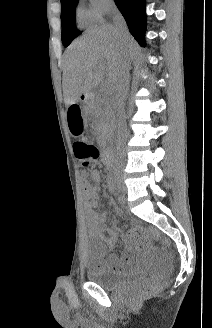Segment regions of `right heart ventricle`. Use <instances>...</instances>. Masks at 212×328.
Here are the masks:
<instances>
[{
    "mask_svg": "<svg viewBox=\"0 0 212 328\" xmlns=\"http://www.w3.org/2000/svg\"><path fill=\"white\" fill-rule=\"evenodd\" d=\"M78 22H79L80 24H86V23L88 22V19H87L85 13L82 12V11H80V12L78 13Z\"/></svg>",
    "mask_w": 212,
    "mask_h": 328,
    "instance_id": "1",
    "label": "right heart ventricle"
}]
</instances>
